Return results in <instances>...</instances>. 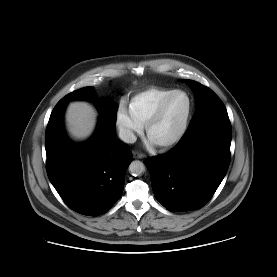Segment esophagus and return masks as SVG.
Returning <instances> with one entry per match:
<instances>
[{
    "instance_id": "esophagus-1",
    "label": "esophagus",
    "mask_w": 277,
    "mask_h": 277,
    "mask_svg": "<svg viewBox=\"0 0 277 277\" xmlns=\"http://www.w3.org/2000/svg\"><path fill=\"white\" fill-rule=\"evenodd\" d=\"M133 156H134V158H137V159H143L146 157L144 154L139 153V152H134Z\"/></svg>"
}]
</instances>
